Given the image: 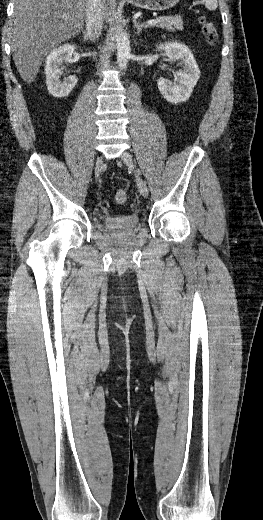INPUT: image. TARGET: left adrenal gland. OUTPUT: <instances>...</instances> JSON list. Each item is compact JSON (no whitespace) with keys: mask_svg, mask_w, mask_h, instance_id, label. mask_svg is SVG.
I'll return each instance as SVG.
<instances>
[{"mask_svg":"<svg viewBox=\"0 0 263 520\" xmlns=\"http://www.w3.org/2000/svg\"><path fill=\"white\" fill-rule=\"evenodd\" d=\"M134 28L136 29V33L139 34L142 29L149 28L150 26L146 23H140L136 19L133 20Z\"/></svg>","mask_w":263,"mask_h":520,"instance_id":"obj_1","label":"left adrenal gland"}]
</instances>
